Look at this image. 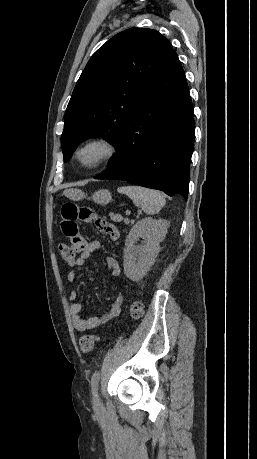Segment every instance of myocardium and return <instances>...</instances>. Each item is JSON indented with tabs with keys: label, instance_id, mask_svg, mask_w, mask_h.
Returning <instances> with one entry per match:
<instances>
[{
	"label": "myocardium",
	"instance_id": "f54148a6",
	"mask_svg": "<svg viewBox=\"0 0 257 459\" xmlns=\"http://www.w3.org/2000/svg\"><path fill=\"white\" fill-rule=\"evenodd\" d=\"M93 147L101 150L100 156L90 163H84L80 157L81 153ZM117 152L118 146L112 139L106 136H96L80 143L75 148L73 157L82 170L92 171L110 162L117 155Z\"/></svg>",
	"mask_w": 257,
	"mask_h": 459
}]
</instances>
